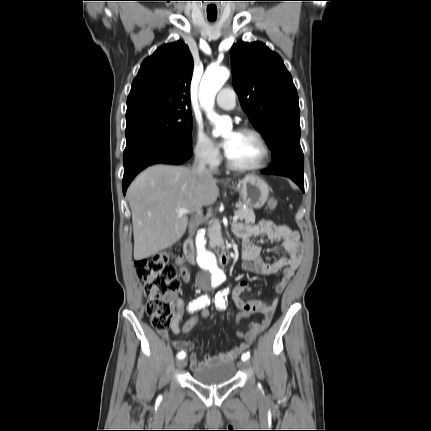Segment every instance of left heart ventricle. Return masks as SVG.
I'll return each instance as SVG.
<instances>
[{
  "mask_svg": "<svg viewBox=\"0 0 431 431\" xmlns=\"http://www.w3.org/2000/svg\"><path fill=\"white\" fill-rule=\"evenodd\" d=\"M229 132L226 135H233L230 149L227 152L230 160L239 165H252L257 163L262 157V148L256 138L249 134L239 132Z\"/></svg>",
  "mask_w": 431,
  "mask_h": 431,
  "instance_id": "obj_1",
  "label": "left heart ventricle"
}]
</instances>
